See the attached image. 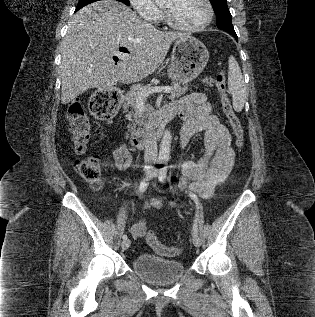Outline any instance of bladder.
Listing matches in <instances>:
<instances>
[{
    "instance_id": "31cf9c89",
    "label": "bladder",
    "mask_w": 315,
    "mask_h": 317,
    "mask_svg": "<svg viewBox=\"0 0 315 317\" xmlns=\"http://www.w3.org/2000/svg\"><path fill=\"white\" fill-rule=\"evenodd\" d=\"M132 269L145 280L154 284H166L183 276L185 267L178 260L164 259L149 253L135 256Z\"/></svg>"
}]
</instances>
